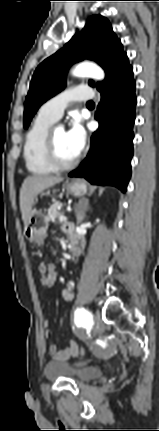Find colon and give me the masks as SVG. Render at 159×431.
Returning a JSON list of instances; mask_svg holds the SVG:
<instances>
[{
  "instance_id": "5ec220e1",
  "label": "colon",
  "mask_w": 159,
  "mask_h": 431,
  "mask_svg": "<svg viewBox=\"0 0 159 431\" xmlns=\"http://www.w3.org/2000/svg\"><path fill=\"white\" fill-rule=\"evenodd\" d=\"M47 266H48V276H50L49 277V284H51V287H54V284H56V282H57V279H56V277H54L53 276V272L56 270V264H55V262L53 261V260H48L47 261ZM60 326H65V321H60ZM79 352L80 353H78V358H83L84 357V354H85V348L84 347H79Z\"/></svg>"
}]
</instances>
